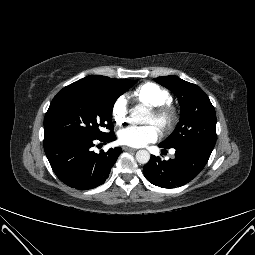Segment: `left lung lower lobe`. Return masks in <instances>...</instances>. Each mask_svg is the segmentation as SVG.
<instances>
[{
  "label": "left lung lower lobe",
  "instance_id": "obj_1",
  "mask_svg": "<svg viewBox=\"0 0 255 255\" xmlns=\"http://www.w3.org/2000/svg\"><path fill=\"white\" fill-rule=\"evenodd\" d=\"M159 147L166 149L162 144ZM176 157L168 161L151 156L144 166L146 179L162 188H176L190 182L206 165L211 152L197 148H178Z\"/></svg>",
  "mask_w": 255,
  "mask_h": 255
}]
</instances>
